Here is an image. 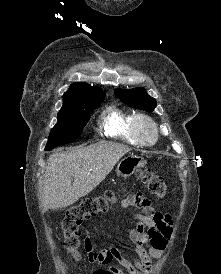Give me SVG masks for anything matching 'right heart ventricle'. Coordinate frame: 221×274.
<instances>
[{
    "mask_svg": "<svg viewBox=\"0 0 221 274\" xmlns=\"http://www.w3.org/2000/svg\"><path fill=\"white\" fill-rule=\"evenodd\" d=\"M135 114L116 106L107 107L101 115L100 129L105 136L132 145H141L133 133Z\"/></svg>",
    "mask_w": 221,
    "mask_h": 274,
    "instance_id": "e07e8e85",
    "label": "right heart ventricle"
}]
</instances>
